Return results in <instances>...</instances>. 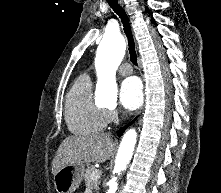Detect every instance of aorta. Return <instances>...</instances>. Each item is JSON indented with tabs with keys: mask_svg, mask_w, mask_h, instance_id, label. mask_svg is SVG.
Listing matches in <instances>:
<instances>
[{
	"mask_svg": "<svg viewBox=\"0 0 221 193\" xmlns=\"http://www.w3.org/2000/svg\"><path fill=\"white\" fill-rule=\"evenodd\" d=\"M125 48V40L118 34L105 36L97 50L96 65L101 72V77L97 84L96 95L107 103L117 99V85L112 72L121 63ZM136 140L137 133L134 129H130L124 134L115 160L113 176L108 182L109 188L106 193H116L117 177L115 174L120 175L126 169L132 158Z\"/></svg>",
	"mask_w": 221,
	"mask_h": 193,
	"instance_id": "1",
	"label": "aorta"
}]
</instances>
